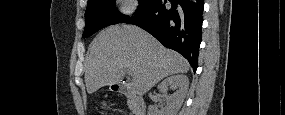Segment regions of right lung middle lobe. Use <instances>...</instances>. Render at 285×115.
<instances>
[{
    "mask_svg": "<svg viewBox=\"0 0 285 115\" xmlns=\"http://www.w3.org/2000/svg\"><path fill=\"white\" fill-rule=\"evenodd\" d=\"M155 0H139L136 12L151 5ZM115 0H89L85 12V31L83 38H87L100 29L122 23L125 15L115 9Z\"/></svg>",
    "mask_w": 285,
    "mask_h": 115,
    "instance_id": "obj_1",
    "label": "right lung middle lobe"
}]
</instances>
